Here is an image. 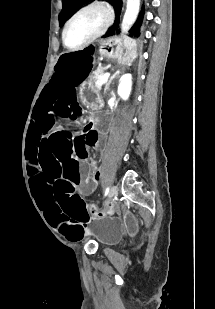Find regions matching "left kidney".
Here are the masks:
<instances>
[{
    "label": "left kidney",
    "instance_id": "5707ae66",
    "mask_svg": "<svg viewBox=\"0 0 215 309\" xmlns=\"http://www.w3.org/2000/svg\"><path fill=\"white\" fill-rule=\"evenodd\" d=\"M131 78H132L131 74H122L120 78L117 92L119 96L123 98V100H127L130 94L131 84H132Z\"/></svg>",
    "mask_w": 215,
    "mask_h": 309
}]
</instances>
